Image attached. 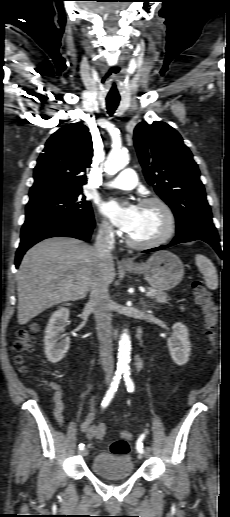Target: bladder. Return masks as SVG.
<instances>
[{
  "mask_svg": "<svg viewBox=\"0 0 230 517\" xmlns=\"http://www.w3.org/2000/svg\"><path fill=\"white\" fill-rule=\"evenodd\" d=\"M91 471L105 479H121L130 477L134 466L128 455L100 452L92 461Z\"/></svg>",
  "mask_w": 230,
  "mask_h": 517,
  "instance_id": "31cf9c89",
  "label": "bladder"
}]
</instances>
